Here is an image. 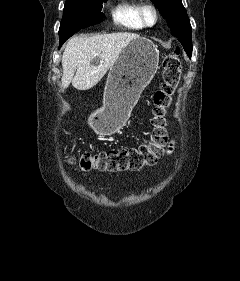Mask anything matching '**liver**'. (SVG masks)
Returning a JSON list of instances; mask_svg holds the SVG:
<instances>
[{"mask_svg": "<svg viewBox=\"0 0 240 281\" xmlns=\"http://www.w3.org/2000/svg\"><path fill=\"white\" fill-rule=\"evenodd\" d=\"M138 37L129 32L72 37L62 55V87L72 82L78 90L91 89L115 64L126 45ZM95 59L99 61L97 65L92 64Z\"/></svg>", "mask_w": 240, "mask_h": 281, "instance_id": "1", "label": "liver"}]
</instances>
